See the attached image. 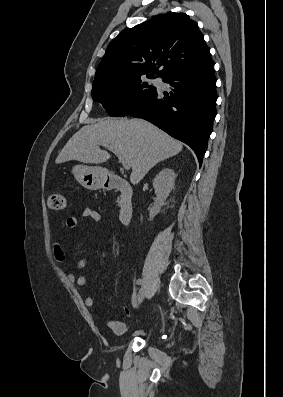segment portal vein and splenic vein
Listing matches in <instances>:
<instances>
[{
  "instance_id": "obj_1",
  "label": "portal vein and splenic vein",
  "mask_w": 283,
  "mask_h": 397,
  "mask_svg": "<svg viewBox=\"0 0 283 397\" xmlns=\"http://www.w3.org/2000/svg\"><path fill=\"white\" fill-rule=\"evenodd\" d=\"M101 145H103L109 151L113 152L118 157L119 163H121L122 167L125 170H129L130 169V167H131L130 163L124 158V156H122V154L119 152V150L117 148H114V147H112L110 145H107V144H101Z\"/></svg>"
}]
</instances>
